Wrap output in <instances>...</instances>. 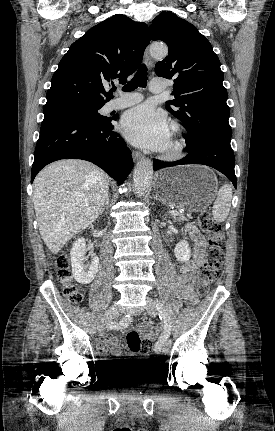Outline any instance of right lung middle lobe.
I'll return each mask as SVG.
<instances>
[{
	"label": "right lung middle lobe",
	"instance_id": "obj_1",
	"mask_svg": "<svg viewBox=\"0 0 275 431\" xmlns=\"http://www.w3.org/2000/svg\"><path fill=\"white\" fill-rule=\"evenodd\" d=\"M102 106H93V107H75L65 110H59L51 113L44 114V116L48 115H54V114H66V115H76L83 117L87 120H91L94 122H101L107 119V117H104L98 113V110Z\"/></svg>",
	"mask_w": 275,
	"mask_h": 431
}]
</instances>
